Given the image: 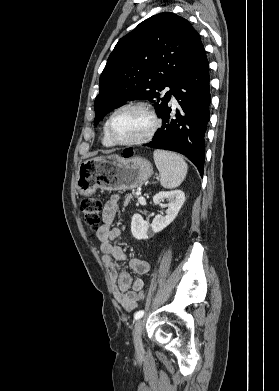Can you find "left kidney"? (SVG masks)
Wrapping results in <instances>:
<instances>
[{
  "mask_svg": "<svg viewBox=\"0 0 279 391\" xmlns=\"http://www.w3.org/2000/svg\"><path fill=\"white\" fill-rule=\"evenodd\" d=\"M168 202L165 213L155 216L152 223L145 222L141 215L134 214L131 221L132 235L138 240H146L155 233L166 228L177 216L185 201V194L181 190L161 191L153 197L155 204L162 201Z\"/></svg>",
  "mask_w": 279,
  "mask_h": 391,
  "instance_id": "obj_1",
  "label": "left kidney"
}]
</instances>
